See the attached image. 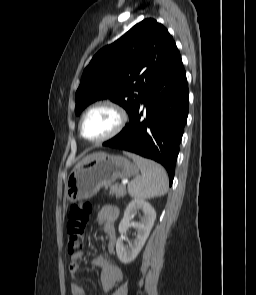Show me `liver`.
I'll return each instance as SVG.
<instances>
[{"mask_svg":"<svg viewBox=\"0 0 256 295\" xmlns=\"http://www.w3.org/2000/svg\"><path fill=\"white\" fill-rule=\"evenodd\" d=\"M99 153H93V154H90V155H88V156H86V157H84L75 167H77V166H79L80 164H82V163H84V162H86L87 160H89V159H91V158H93V157H95L96 155H98Z\"/></svg>","mask_w":256,"mask_h":295,"instance_id":"6515ba94","label":"liver"}]
</instances>
